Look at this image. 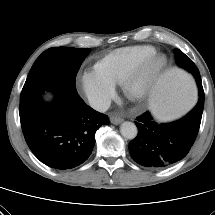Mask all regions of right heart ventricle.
Segmentation results:
<instances>
[{
	"instance_id": "1",
	"label": "right heart ventricle",
	"mask_w": 215,
	"mask_h": 215,
	"mask_svg": "<svg viewBox=\"0 0 215 215\" xmlns=\"http://www.w3.org/2000/svg\"><path fill=\"white\" fill-rule=\"evenodd\" d=\"M155 53L150 45L122 47L100 58L94 68L113 84H120L135 65Z\"/></svg>"
}]
</instances>
